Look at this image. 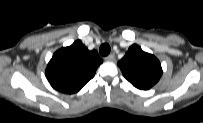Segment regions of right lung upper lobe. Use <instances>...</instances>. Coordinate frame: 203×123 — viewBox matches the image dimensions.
Instances as JSON below:
<instances>
[{"label":"right lung upper lobe","mask_w":203,"mask_h":123,"mask_svg":"<svg viewBox=\"0 0 203 123\" xmlns=\"http://www.w3.org/2000/svg\"><path fill=\"white\" fill-rule=\"evenodd\" d=\"M102 62L95 50L89 51L77 40L54 53L45 73L54 89L72 94L81 90L94 77Z\"/></svg>","instance_id":"1"}]
</instances>
